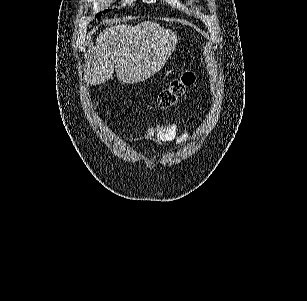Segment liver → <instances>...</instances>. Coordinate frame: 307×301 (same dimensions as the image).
Masks as SVG:
<instances>
[{
	"instance_id": "6515ba94",
	"label": "liver",
	"mask_w": 307,
	"mask_h": 301,
	"mask_svg": "<svg viewBox=\"0 0 307 301\" xmlns=\"http://www.w3.org/2000/svg\"><path fill=\"white\" fill-rule=\"evenodd\" d=\"M177 44V34L157 22L112 24L96 36L86 60L87 82L101 84L112 78L120 82H143L159 72Z\"/></svg>"
}]
</instances>
